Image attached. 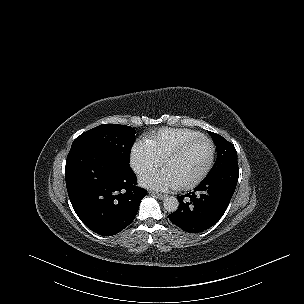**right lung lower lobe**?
Listing matches in <instances>:
<instances>
[{"instance_id": "98d812e1", "label": "right lung lower lobe", "mask_w": 304, "mask_h": 304, "mask_svg": "<svg viewBox=\"0 0 304 304\" xmlns=\"http://www.w3.org/2000/svg\"><path fill=\"white\" fill-rule=\"evenodd\" d=\"M106 150L72 148L65 167L66 186L80 220L92 231L112 236L135 218L147 191L136 187L131 167H117Z\"/></svg>"}]
</instances>
